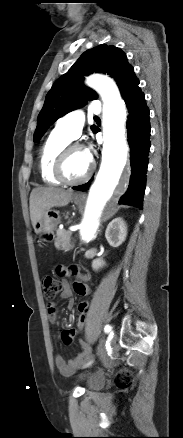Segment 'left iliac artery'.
Instances as JSON below:
<instances>
[{
  "mask_svg": "<svg viewBox=\"0 0 183 438\" xmlns=\"http://www.w3.org/2000/svg\"><path fill=\"white\" fill-rule=\"evenodd\" d=\"M111 326L110 325H106L105 326V328H104V331L106 332V333H109L110 331H111Z\"/></svg>",
  "mask_w": 183,
  "mask_h": 438,
  "instance_id": "obj_1",
  "label": "left iliac artery"
}]
</instances>
